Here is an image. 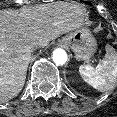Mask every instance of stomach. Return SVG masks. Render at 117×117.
<instances>
[{
    "label": "stomach",
    "mask_w": 117,
    "mask_h": 117,
    "mask_svg": "<svg viewBox=\"0 0 117 117\" xmlns=\"http://www.w3.org/2000/svg\"><path fill=\"white\" fill-rule=\"evenodd\" d=\"M61 43L71 48L77 60L89 59L97 49V42L86 28L77 29L62 38Z\"/></svg>",
    "instance_id": "0dacf381"
}]
</instances>
